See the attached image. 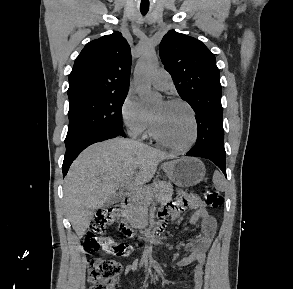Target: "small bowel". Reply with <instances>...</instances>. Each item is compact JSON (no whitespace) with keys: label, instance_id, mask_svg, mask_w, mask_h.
Masks as SVG:
<instances>
[{"label":"small bowel","instance_id":"small-bowel-1","mask_svg":"<svg viewBox=\"0 0 293 289\" xmlns=\"http://www.w3.org/2000/svg\"><path fill=\"white\" fill-rule=\"evenodd\" d=\"M184 207H189L194 210V213L190 218V223L195 224L198 221H201L202 234L201 236L185 243L184 248L187 254L179 260L178 266L185 267L195 263L196 267L192 274L193 285L194 289H201L203 286V270L206 261V254L213 241L217 223L215 218L208 213L205 203L194 195H186L184 199L177 201L176 208L172 209L170 212H161L160 219L164 221L167 216L172 220L176 219L179 216L180 210ZM138 267L139 263L134 261L125 265L124 270L125 273H130Z\"/></svg>","mask_w":293,"mask_h":289}]
</instances>
